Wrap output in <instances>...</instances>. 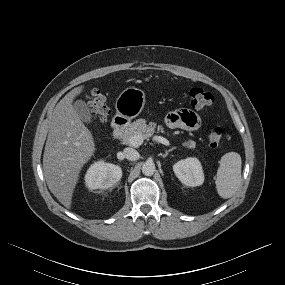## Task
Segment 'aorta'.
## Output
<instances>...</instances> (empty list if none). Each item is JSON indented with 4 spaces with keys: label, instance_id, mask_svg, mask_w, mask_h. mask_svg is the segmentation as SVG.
Wrapping results in <instances>:
<instances>
[{
    "label": "aorta",
    "instance_id": "1",
    "mask_svg": "<svg viewBox=\"0 0 285 285\" xmlns=\"http://www.w3.org/2000/svg\"><path fill=\"white\" fill-rule=\"evenodd\" d=\"M155 164L152 161H146L143 165H142V173L145 176H152L155 173Z\"/></svg>",
    "mask_w": 285,
    "mask_h": 285
}]
</instances>
